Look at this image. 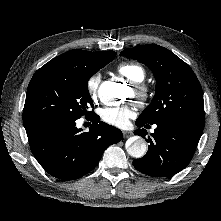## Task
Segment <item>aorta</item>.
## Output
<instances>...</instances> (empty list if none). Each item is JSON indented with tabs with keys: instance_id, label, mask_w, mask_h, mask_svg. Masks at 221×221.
Masks as SVG:
<instances>
[{
	"instance_id": "obj_1",
	"label": "aorta",
	"mask_w": 221,
	"mask_h": 221,
	"mask_svg": "<svg viewBox=\"0 0 221 221\" xmlns=\"http://www.w3.org/2000/svg\"><path fill=\"white\" fill-rule=\"evenodd\" d=\"M100 94L104 100H116L121 97L123 87L121 84L105 81L100 86ZM147 144L141 137H134L131 139L130 145L127 146V152L134 158H141L146 154Z\"/></svg>"
}]
</instances>
